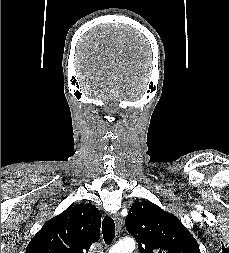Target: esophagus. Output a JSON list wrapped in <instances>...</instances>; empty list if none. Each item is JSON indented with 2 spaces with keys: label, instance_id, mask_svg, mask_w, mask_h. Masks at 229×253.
<instances>
[{
  "label": "esophagus",
  "instance_id": "esophagus-1",
  "mask_svg": "<svg viewBox=\"0 0 229 253\" xmlns=\"http://www.w3.org/2000/svg\"><path fill=\"white\" fill-rule=\"evenodd\" d=\"M113 219L116 223L117 228L118 229L121 228L123 221H122V218L120 217V215L118 213H114Z\"/></svg>",
  "mask_w": 229,
  "mask_h": 253
}]
</instances>
